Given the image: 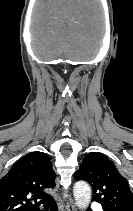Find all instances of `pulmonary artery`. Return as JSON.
Segmentation results:
<instances>
[{"label": "pulmonary artery", "instance_id": "e3ab8cb5", "mask_svg": "<svg viewBox=\"0 0 133 211\" xmlns=\"http://www.w3.org/2000/svg\"><path fill=\"white\" fill-rule=\"evenodd\" d=\"M94 211H102L101 207L98 204H93Z\"/></svg>", "mask_w": 133, "mask_h": 211}]
</instances>
